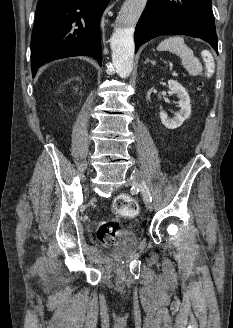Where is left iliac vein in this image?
I'll return each mask as SVG.
<instances>
[{
	"label": "left iliac vein",
	"mask_w": 233,
	"mask_h": 328,
	"mask_svg": "<svg viewBox=\"0 0 233 328\" xmlns=\"http://www.w3.org/2000/svg\"><path fill=\"white\" fill-rule=\"evenodd\" d=\"M142 180H143V175L141 174V172L138 170H134L132 172L130 178L127 179V184L130 186L137 187L140 185ZM144 202H145V206L147 207V209L152 211L153 207H152L151 201L148 200L147 198H144Z\"/></svg>",
	"instance_id": "left-iliac-vein-1"
}]
</instances>
